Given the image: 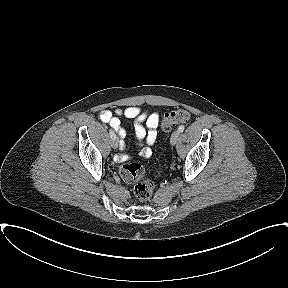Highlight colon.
I'll return each instance as SVG.
<instances>
[{"label": "colon", "instance_id": "colon-1", "mask_svg": "<svg viewBox=\"0 0 288 288\" xmlns=\"http://www.w3.org/2000/svg\"><path fill=\"white\" fill-rule=\"evenodd\" d=\"M190 113L184 109H177L165 113L161 118V127L164 131L171 130L174 126L187 123L190 120ZM121 178L127 183H135L134 194L140 201H147L154 191V184L148 179H144V168L136 162H126L120 166Z\"/></svg>", "mask_w": 288, "mask_h": 288}]
</instances>
